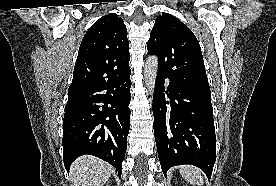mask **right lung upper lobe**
Here are the masks:
<instances>
[{
  "instance_id": "1",
  "label": "right lung upper lobe",
  "mask_w": 276,
  "mask_h": 186,
  "mask_svg": "<svg viewBox=\"0 0 276 186\" xmlns=\"http://www.w3.org/2000/svg\"><path fill=\"white\" fill-rule=\"evenodd\" d=\"M127 29L115 13L97 20L79 48L69 91L100 87L130 74Z\"/></svg>"
}]
</instances>
